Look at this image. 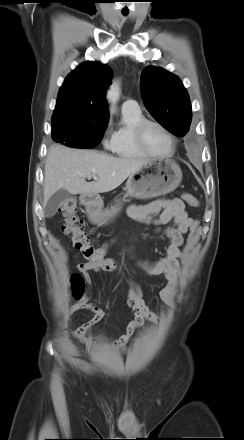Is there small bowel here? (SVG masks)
I'll use <instances>...</instances> for the list:
<instances>
[{
  "label": "small bowel",
  "instance_id": "c3829d8e",
  "mask_svg": "<svg viewBox=\"0 0 244 440\" xmlns=\"http://www.w3.org/2000/svg\"><path fill=\"white\" fill-rule=\"evenodd\" d=\"M159 218L153 216L159 214ZM128 214L135 220L156 226L157 232L162 231L167 236L171 243L166 249L165 255L153 262L137 261V265L148 275L164 276L167 283L159 292V298L168 306H174V297L177 289L178 274H179V258L181 256L180 247L183 244V235L189 230L193 224V219L189 216L185 209L184 203L177 198L174 199H158L150 203L142 205H131L128 208ZM170 222L173 225L168 226ZM132 253V249H129ZM79 270L83 273L86 282L91 285V272L98 271L89 262L79 264ZM117 266L108 271H113ZM127 305L133 310L134 319L127 325L126 332L113 342V347L117 350L126 353L127 343L133 336L135 330L142 326L145 320L151 322L163 323L149 307L145 304L142 298V292L138 284L132 282L126 298ZM79 310H89L94 313L91 320L84 323L75 331V337L87 346H93L94 343L86 337V332L92 326L102 321L106 313L98 306L87 303L86 299L75 303L71 306V312Z\"/></svg>",
  "mask_w": 244,
  "mask_h": 440
}]
</instances>
